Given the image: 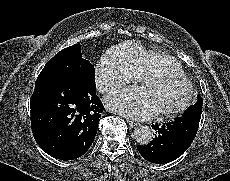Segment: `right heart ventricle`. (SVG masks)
<instances>
[{"instance_id": "1", "label": "right heart ventricle", "mask_w": 230, "mask_h": 181, "mask_svg": "<svg viewBox=\"0 0 230 181\" xmlns=\"http://www.w3.org/2000/svg\"><path fill=\"white\" fill-rule=\"evenodd\" d=\"M107 61L128 72L135 80L150 72H170L184 75L172 57L152 50L137 41H125L107 52Z\"/></svg>"}]
</instances>
